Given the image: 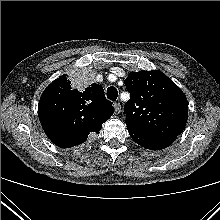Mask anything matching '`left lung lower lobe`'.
<instances>
[{
	"label": "left lung lower lobe",
	"mask_w": 220,
	"mask_h": 220,
	"mask_svg": "<svg viewBox=\"0 0 220 220\" xmlns=\"http://www.w3.org/2000/svg\"><path fill=\"white\" fill-rule=\"evenodd\" d=\"M128 132L131 138L137 144L151 150H160L166 148L170 146L176 139L175 137H160V136L141 134L130 130H128Z\"/></svg>",
	"instance_id": "0a47b994"
}]
</instances>
